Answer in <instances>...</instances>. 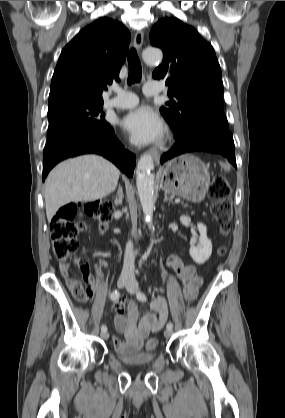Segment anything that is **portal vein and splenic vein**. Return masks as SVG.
<instances>
[{
  "mask_svg": "<svg viewBox=\"0 0 285 418\" xmlns=\"http://www.w3.org/2000/svg\"><path fill=\"white\" fill-rule=\"evenodd\" d=\"M175 202H176V203H180V199H179V198H177V199L175 200Z\"/></svg>",
  "mask_w": 285,
  "mask_h": 418,
  "instance_id": "1",
  "label": "portal vein and splenic vein"
}]
</instances>
